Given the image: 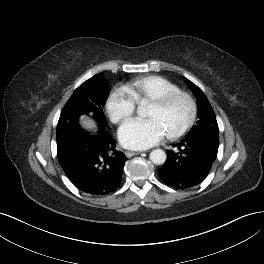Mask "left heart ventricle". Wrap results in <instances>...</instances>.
I'll return each mask as SVG.
<instances>
[{
  "label": "left heart ventricle",
  "mask_w": 264,
  "mask_h": 264,
  "mask_svg": "<svg viewBox=\"0 0 264 264\" xmlns=\"http://www.w3.org/2000/svg\"><path fill=\"white\" fill-rule=\"evenodd\" d=\"M187 113L188 108L185 101L178 100L166 109H160L151 104L147 112V117L157 119L164 127L166 133H168L183 124Z\"/></svg>",
  "instance_id": "b2bd125f"
}]
</instances>
